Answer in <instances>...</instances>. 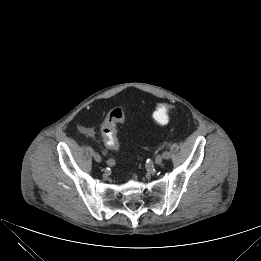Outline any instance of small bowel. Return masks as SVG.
<instances>
[{"mask_svg": "<svg viewBox=\"0 0 261 261\" xmlns=\"http://www.w3.org/2000/svg\"><path fill=\"white\" fill-rule=\"evenodd\" d=\"M81 132L89 137H93L95 135V132L92 128H88V127H81Z\"/></svg>", "mask_w": 261, "mask_h": 261, "instance_id": "small-bowel-1", "label": "small bowel"}]
</instances>
